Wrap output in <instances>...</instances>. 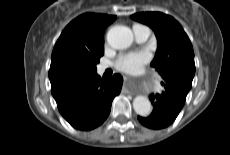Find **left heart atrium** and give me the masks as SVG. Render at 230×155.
<instances>
[{
  "label": "left heart atrium",
  "mask_w": 230,
  "mask_h": 155,
  "mask_svg": "<svg viewBox=\"0 0 230 155\" xmlns=\"http://www.w3.org/2000/svg\"><path fill=\"white\" fill-rule=\"evenodd\" d=\"M150 56L145 51H132L121 54L116 62L115 67L126 73H135L139 71L148 61Z\"/></svg>",
  "instance_id": "39dd6f15"
}]
</instances>
